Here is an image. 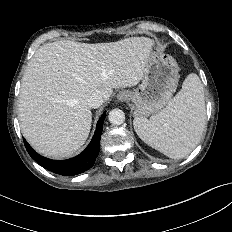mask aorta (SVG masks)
<instances>
[{"label":"aorta","instance_id":"aorta-1","mask_svg":"<svg viewBox=\"0 0 232 232\" xmlns=\"http://www.w3.org/2000/svg\"><path fill=\"white\" fill-rule=\"evenodd\" d=\"M108 119L113 125H121L125 121V113L120 109H113L109 112Z\"/></svg>","mask_w":232,"mask_h":232}]
</instances>
